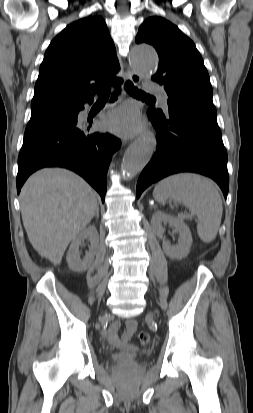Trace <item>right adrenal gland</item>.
Segmentation results:
<instances>
[{"mask_svg":"<svg viewBox=\"0 0 253 413\" xmlns=\"http://www.w3.org/2000/svg\"><path fill=\"white\" fill-rule=\"evenodd\" d=\"M95 216H96L97 219L99 218V209H98V208H97V210H96Z\"/></svg>","mask_w":253,"mask_h":413,"instance_id":"right-adrenal-gland-1","label":"right adrenal gland"}]
</instances>
